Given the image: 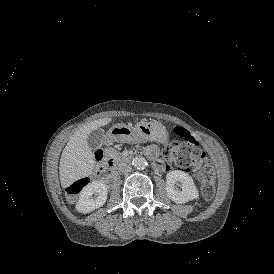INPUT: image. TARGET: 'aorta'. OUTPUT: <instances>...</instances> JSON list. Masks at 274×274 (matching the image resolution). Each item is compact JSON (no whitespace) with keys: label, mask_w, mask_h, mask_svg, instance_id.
Listing matches in <instances>:
<instances>
[{"label":"aorta","mask_w":274,"mask_h":274,"mask_svg":"<svg viewBox=\"0 0 274 274\" xmlns=\"http://www.w3.org/2000/svg\"><path fill=\"white\" fill-rule=\"evenodd\" d=\"M132 165L137 169H144L148 163L144 157H136L132 160Z\"/></svg>","instance_id":"obj_1"}]
</instances>
